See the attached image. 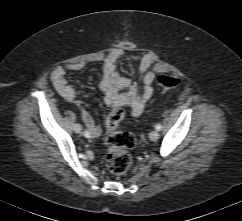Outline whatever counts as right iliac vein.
I'll list each match as a JSON object with an SVG mask.
<instances>
[{
    "label": "right iliac vein",
    "instance_id": "63e3f726",
    "mask_svg": "<svg viewBox=\"0 0 242 221\" xmlns=\"http://www.w3.org/2000/svg\"><path fill=\"white\" fill-rule=\"evenodd\" d=\"M74 130H75L76 133H80L81 130H82L81 125H80V124H76V125L74 126Z\"/></svg>",
    "mask_w": 242,
    "mask_h": 221
}]
</instances>
